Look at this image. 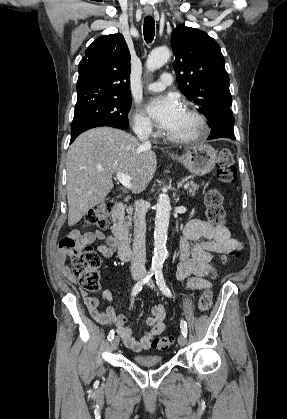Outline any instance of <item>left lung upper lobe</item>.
Wrapping results in <instances>:
<instances>
[{"label": "left lung upper lobe", "mask_w": 287, "mask_h": 419, "mask_svg": "<svg viewBox=\"0 0 287 419\" xmlns=\"http://www.w3.org/2000/svg\"><path fill=\"white\" fill-rule=\"evenodd\" d=\"M171 45L179 89L213 126L232 104L220 46L207 33L184 25L173 31Z\"/></svg>", "instance_id": "left-lung-upper-lobe-1"}]
</instances>
